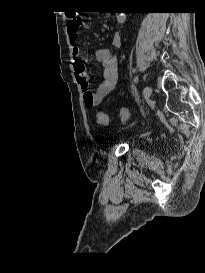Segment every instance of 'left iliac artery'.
Masks as SVG:
<instances>
[{"label": "left iliac artery", "mask_w": 205, "mask_h": 273, "mask_svg": "<svg viewBox=\"0 0 205 273\" xmlns=\"http://www.w3.org/2000/svg\"><path fill=\"white\" fill-rule=\"evenodd\" d=\"M138 81H139L138 76H135V77H134V82H135V83H138Z\"/></svg>", "instance_id": "left-iliac-artery-1"}]
</instances>
